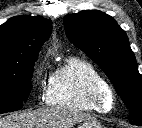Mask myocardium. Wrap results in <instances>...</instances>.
<instances>
[{
  "label": "myocardium",
  "mask_w": 142,
  "mask_h": 128,
  "mask_svg": "<svg viewBox=\"0 0 142 128\" xmlns=\"http://www.w3.org/2000/svg\"><path fill=\"white\" fill-rule=\"evenodd\" d=\"M91 102L99 108H105L108 111L112 109L114 105V93L112 89H104L100 85H94L89 93Z\"/></svg>",
  "instance_id": "myocardium-1"
}]
</instances>
